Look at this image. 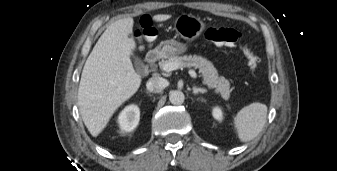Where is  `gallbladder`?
Returning <instances> with one entry per match:
<instances>
[{"label":"gallbladder","instance_id":"bac80fb5","mask_svg":"<svg viewBox=\"0 0 337 171\" xmlns=\"http://www.w3.org/2000/svg\"><path fill=\"white\" fill-rule=\"evenodd\" d=\"M135 60H136L135 62H136L137 67L138 68H142L143 67L142 61L140 59H138V58H136Z\"/></svg>","mask_w":337,"mask_h":171}]
</instances>
